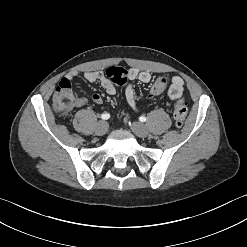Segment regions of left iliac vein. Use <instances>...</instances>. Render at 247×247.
<instances>
[{
  "instance_id": "1",
  "label": "left iliac vein",
  "mask_w": 247,
  "mask_h": 247,
  "mask_svg": "<svg viewBox=\"0 0 247 247\" xmlns=\"http://www.w3.org/2000/svg\"><path fill=\"white\" fill-rule=\"evenodd\" d=\"M131 129L138 137L145 138L149 135L148 128L142 123L133 122Z\"/></svg>"
}]
</instances>
